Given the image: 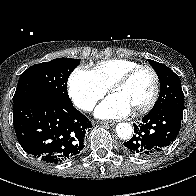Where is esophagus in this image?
I'll list each match as a JSON object with an SVG mask.
<instances>
[{"mask_svg": "<svg viewBox=\"0 0 196 196\" xmlns=\"http://www.w3.org/2000/svg\"><path fill=\"white\" fill-rule=\"evenodd\" d=\"M102 124H104V125H114V122L113 121H105V122H102Z\"/></svg>", "mask_w": 196, "mask_h": 196, "instance_id": "esophagus-1", "label": "esophagus"}]
</instances>
